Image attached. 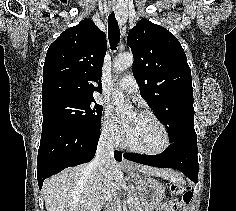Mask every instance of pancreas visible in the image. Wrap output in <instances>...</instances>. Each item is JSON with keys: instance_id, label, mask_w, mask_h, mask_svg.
Returning <instances> with one entry per match:
<instances>
[{"instance_id": "obj_1", "label": "pancreas", "mask_w": 236, "mask_h": 211, "mask_svg": "<svg viewBox=\"0 0 236 211\" xmlns=\"http://www.w3.org/2000/svg\"><path fill=\"white\" fill-rule=\"evenodd\" d=\"M127 198L132 199V202L129 205L130 211H143L141 207V202L136 192H130ZM114 211H121V210L118 206H115Z\"/></svg>"}]
</instances>
